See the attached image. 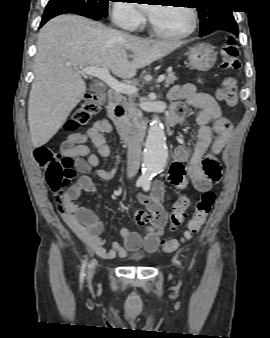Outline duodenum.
<instances>
[{"instance_id": "410a0bca", "label": "duodenum", "mask_w": 270, "mask_h": 338, "mask_svg": "<svg viewBox=\"0 0 270 338\" xmlns=\"http://www.w3.org/2000/svg\"><path fill=\"white\" fill-rule=\"evenodd\" d=\"M107 110L110 116H112L115 121L116 125L121 133V135L126 138L128 135L130 128L127 125L126 121L124 120L125 111L120 103V96L116 91H109L108 92V105ZM164 128L168 133H172L174 129V124L172 123L169 117L163 119ZM145 127H140L137 131L140 133Z\"/></svg>"}]
</instances>
